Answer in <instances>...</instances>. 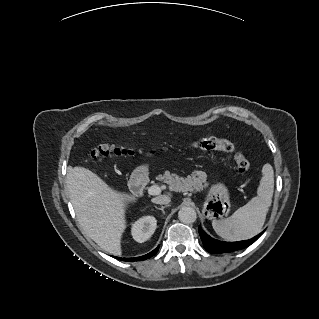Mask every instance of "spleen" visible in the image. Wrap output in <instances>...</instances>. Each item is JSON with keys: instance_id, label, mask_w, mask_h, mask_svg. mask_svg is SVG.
<instances>
[{"instance_id": "spleen-1", "label": "spleen", "mask_w": 319, "mask_h": 319, "mask_svg": "<svg viewBox=\"0 0 319 319\" xmlns=\"http://www.w3.org/2000/svg\"><path fill=\"white\" fill-rule=\"evenodd\" d=\"M262 173L256 197L236 210L232 216L223 220H213V229L220 237L227 241H241L252 238L260 232L274 191L272 166L264 165Z\"/></svg>"}]
</instances>
